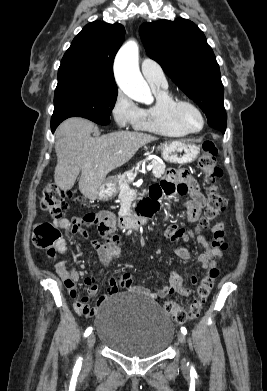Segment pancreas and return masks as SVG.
I'll return each mask as SVG.
<instances>
[{
  "label": "pancreas",
  "instance_id": "cf45deb5",
  "mask_svg": "<svg viewBox=\"0 0 267 391\" xmlns=\"http://www.w3.org/2000/svg\"><path fill=\"white\" fill-rule=\"evenodd\" d=\"M151 164L153 166V170H152L153 175L156 178H161L165 172V165L156 161V160H152ZM133 169L126 171L124 174H122L114 179V181L118 184V189L120 191V195L123 193L124 188L127 187L129 185V183L131 182V180L128 179L127 174L133 173Z\"/></svg>",
  "mask_w": 267,
  "mask_h": 391
}]
</instances>
